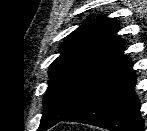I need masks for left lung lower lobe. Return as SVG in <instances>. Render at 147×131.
Masks as SVG:
<instances>
[{"label": "left lung lower lobe", "mask_w": 147, "mask_h": 131, "mask_svg": "<svg viewBox=\"0 0 147 131\" xmlns=\"http://www.w3.org/2000/svg\"><path fill=\"white\" fill-rule=\"evenodd\" d=\"M128 59L74 113L62 121L95 125L111 131H144L135 72Z\"/></svg>", "instance_id": "obj_1"}]
</instances>
